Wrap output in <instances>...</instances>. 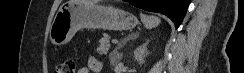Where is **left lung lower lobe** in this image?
Wrapping results in <instances>:
<instances>
[{"instance_id": "left-lung-lower-lobe-1", "label": "left lung lower lobe", "mask_w": 244, "mask_h": 73, "mask_svg": "<svg viewBox=\"0 0 244 73\" xmlns=\"http://www.w3.org/2000/svg\"><path fill=\"white\" fill-rule=\"evenodd\" d=\"M135 7L168 16L178 28L186 14L190 0H124Z\"/></svg>"}]
</instances>
